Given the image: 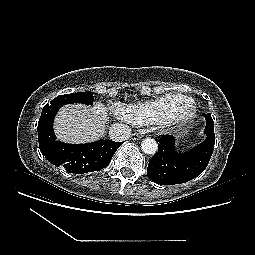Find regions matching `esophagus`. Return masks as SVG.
Here are the masks:
<instances>
[{
    "label": "esophagus",
    "instance_id": "1",
    "mask_svg": "<svg viewBox=\"0 0 255 255\" xmlns=\"http://www.w3.org/2000/svg\"><path fill=\"white\" fill-rule=\"evenodd\" d=\"M143 138V135L139 134V133H133L131 136L132 140H140Z\"/></svg>",
    "mask_w": 255,
    "mask_h": 255
}]
</instances>
